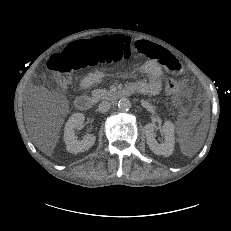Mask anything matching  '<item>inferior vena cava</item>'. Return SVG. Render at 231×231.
Listing matches in <instances>:
<instances>
[{
  "label": "inferior vena cava",
  "instance_id": "602c4592",
  "mask_svg": "<svg viewBox=\"0 0 231 231\" xmlns=\"http://www.w3.org/2000/svg\"><path fill=\"white\" fill-rule=\"evenodd\" d=\"M111 108V104L108 101H103L98 106V111L100 113H105Z\"/></svg>",
  "mask_w": 231,
  "mask_h": 231
}]
</instances>
